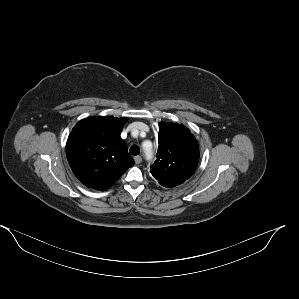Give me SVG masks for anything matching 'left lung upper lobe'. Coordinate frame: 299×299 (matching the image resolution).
I'll return each mask as SVG.
<instances>
[{
	"label": "left lung upper lobe",
	"instance_id": "1",
	"mask_svg": "<svg viewBox=\"0 0 299 299\" xmlns=\"http://www.w3.org/2000/svg\"><path fill=\"white\" fill-rule=\"evenodd\" d=\"M157 160L150 168L158 180L189 179L199 161V146L190 130L178 123H159Z\"/></svg>",
	"mask_w": 299,
	"mask_h": 299
}]
</instances>
